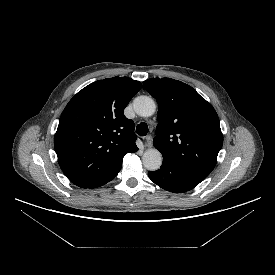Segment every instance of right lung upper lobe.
Segmentation results:
<instances>
[{"instance_id":"right-lung-upper-lobe-1","label":"right lung upper lobe","mask_w":275,"mask_h":275,"mask_svg":"<svg viewBox=\"0 0 275 275\" xmlns=\"http://www.w3.org/2000/svg\"><path fill=\"white\" fill-rule=\"evenodd\" d=\"M128 77L98 80L79 91L61 114L54 147L58 163L76 186L89 188L121 169L138 150L134 122L124 108L141 89Z\"/></svg>"}]
</instances>
